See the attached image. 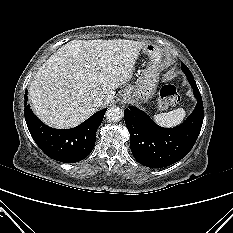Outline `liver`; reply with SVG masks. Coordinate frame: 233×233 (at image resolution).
Wrapping results in <instances>:
<instances>
[{
  "instance_id": "obj_1",
  "label": "liver",
  "mask_w": 233,
  "mask_h": 233,
  "mask_svg": "<svg viewBox=\"0 0 233 233\" xmlns=\"http://www.w3.org/2000/svg\"><path fill=\"white\" fill-rule=\"evenodd\" d=\"M144 42L73 40L59 48L39 68L28 92L31 108L45 124L72 128L96 112L93 101L102 105L115 97V89L132 78Z\"/></svg>"
}]
</instances>
